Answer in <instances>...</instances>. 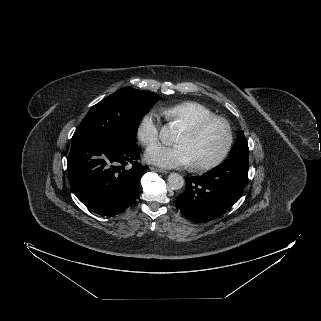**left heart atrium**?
I'll list each match as a JSON object with an SVG mask.
<instances>
[{
  "label": "left heart atrium",
  "instance_id": "obj_1",
  "mask_svg": "<svg viewBox=\"0 0 321 321\" xmlns=\"http://www.w3.org/2000/svg\"><path fill=\"white\" fill-rule=\"evenodd\" d=\"M145 159L147 162L163 168H177L192 164L191 152L185 144L153 145L147 149Z\"/></svg>",
  "mask_w": 321,
  "mask_h": 321
}]
</instances>
